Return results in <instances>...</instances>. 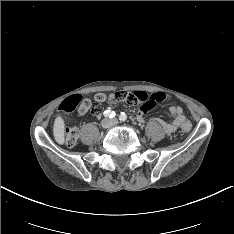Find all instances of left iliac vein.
I'll use <instances>...</instances> for the list:
<instances>
[{
    "mask_svg": "<svg viewBox=\"0 0 234 234\" xmlns=\"http://www.w3.org/2000/svg\"><path fill=\"white\" fill-rule=\"evenodd\" d=\"M112 122H113L114 124H117V120H116V119L112 120Z\"/></svg>",
    "mask_w": 234,
    "mask_h": 234,
    "instance_id": "1",
    "label": "left iliac vein"
}]
</instances>
